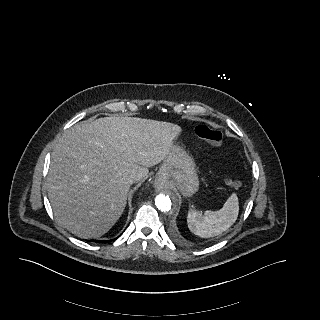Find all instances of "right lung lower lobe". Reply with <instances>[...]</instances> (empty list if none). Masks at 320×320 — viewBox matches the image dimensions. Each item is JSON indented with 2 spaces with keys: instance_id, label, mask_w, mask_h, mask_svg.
I'll use <instances>...</instances> for the list:
<instances>
[{
  "instance_id": "1",
  "label": "right lung lower lobe",
  "mask_w": 320,
  "mask_h": 320,
  "mask_svg": "<svg viewBox=\"0 0 320 320\" xmlns=\"http://www.w3.org/2000/svg\"><path fill=\"white\" fill-rule=\"evenodd\" d=\"M93 241H94V242H99V243H100V242H106V241H97V240H93Z\"/></svg>"
}]
</instances>
